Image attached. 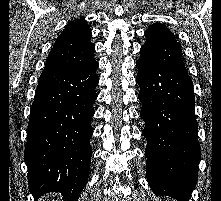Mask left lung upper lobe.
I'll return each mask as SVG.
<instances>
[{"label":"left lung upper lobe","mask_w":221,"mask_h":201,"mask_svg":"<svg viewBox=\"0 0 221 201\" xmlns=\"http://www.w3.org/2000/svg\"><path fill=\"white\" fill-rule=\"evenodd\" d=\"M144 35L146 41L140 49V58L158 66L187 74L182 60L181 46L166 26L159 23L153 24L148 27Z\"/></svg>","instance_id":"obj_1"}]
</instances>
